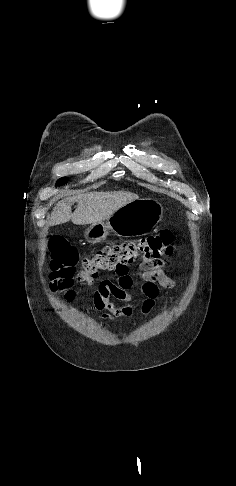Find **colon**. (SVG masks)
<instances>
[{
    "instance_id": "colon-1",
    "label": "colon",
    "mask_w": 236,
    "mask_h": 486,
    "mask_svg": "<svg viewBox=\"0 0 236 486\" xmlns=\"http://www.w3.org/2000/svg\"><path fill=\"white\" fill-rule=\"evenodd\" d=\"M174 236L171 231L164 230L137 241L123 242L105 246L92 256L82 261V268L77 274V280L84 284H92L102 270H122L138 259L158 260L161 256L173 251ZM50 253V288L71 302L75 298L72 289L75 266L78 262V252L62 238H52L49 244Z\"/></svg>"
}]
</instances>
